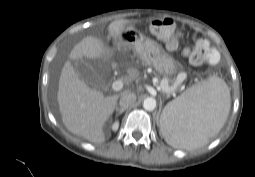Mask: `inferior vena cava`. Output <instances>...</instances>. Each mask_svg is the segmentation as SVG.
Instances as JSON below:
<instances>
[{
    "label": "inferior vena cava",
    "instance_id": "1",
    "mask_svg": "<svg viewBox=\"0 0 255 177\" xmlns=\"http://www.w3.org/2000/svg\"><path fill=\"white\" fill-rule=\"evenodd\" d=\"M136 99L137 98L134 93L127 92L121 96L119 104L121 108L127 109L134 105V103L136 102Z\"/></svg>",
    "mask_w": 255,
    "mask_h": 177
}]
</instances>
